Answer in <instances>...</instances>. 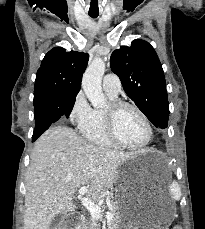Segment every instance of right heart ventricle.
Returning a JSON list of instances; mask_svg holds the SVG:
<instances>
[{"instance_id":"right-heart-ventricle-1","label":"right heart ventricle","mask_w":205,"mask_h":229,"mask_svg":"<svg viewBox=\"0 0 205 229\" xmlns=\"http://www.w3.org/2000/svg\"><path fill=\"white\" fill-rule=\"evenodd\" d=\"M107 94V93H106ZM111 101H115L117 97L107 94ZM83 137L90 143L100 147H113L114 145L108 139L105 124L104 114L101 109H93V117L91 121L80 129Z\"/></svg>"}]
</instances>
